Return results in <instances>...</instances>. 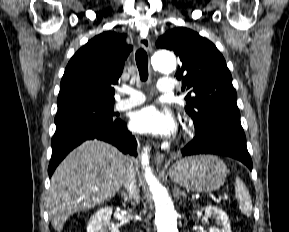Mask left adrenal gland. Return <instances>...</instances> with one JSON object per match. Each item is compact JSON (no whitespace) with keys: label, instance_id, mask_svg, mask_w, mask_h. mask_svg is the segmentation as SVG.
<instances>
[{"label":"left adrenal gland","instance_id":"a2214340","mask_svg":"<svg viewBox=\"0 0 289 232\" xmlns=\"http://www.w3.org/2000/svg\"><path fill=\"white\" fill-rule=\"evenodd\" d=\"M173 195L175 198H179L181 195L185 196L186 194L176 186L174 189Z\"/></svg>","mask_w":289,"mask_h":232}]
</instances>
